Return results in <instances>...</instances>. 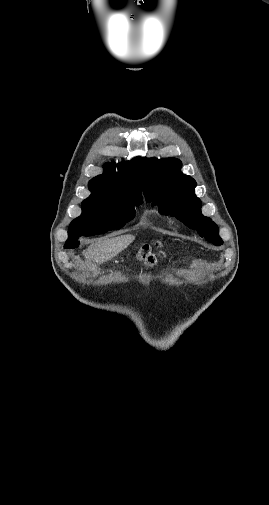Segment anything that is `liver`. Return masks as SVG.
I'll return each mask as SVG.
<instances>
[{"label": "liver", "mask_w": 269, "mask_h": 505, "mask_svg": "<svg viewBox=\"0 0 269 505\" xmlns=\"http://www.w3.org/2000/svg\"><path fill=\"white\" fill-rule=\"evenodd\" d=\"M134 240L135 236L131 234L104 239L91 244L83 255L87 259H92L97 263L102 264L117 256Z\"/></svg>", "instance_id": "6515ba94"}]
</instances>
